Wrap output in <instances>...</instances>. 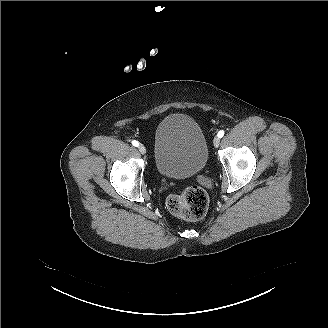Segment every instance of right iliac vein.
<instances>
[{
  "label": "right iliac vein",
  "instance_id": "right-iliac-vein-1",
  "mask_svg": "<svg viewBox=\"0 0 328 328\" xmlns=\"http://www.w3.org/2000/svg\"><path fill=\"white\" fill-rule=\"evenodd\" d=\"M138 150H139V152H140L141 154H146V148H145L144 145L140 144V145L138 146Z\"/></svg>",
  "mask_w": 328,
  "mask_h": 328
}]
</instances>
